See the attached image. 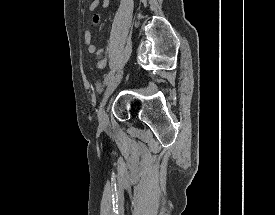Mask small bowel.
Here are the masks:
<instances>
[{
    "label": "small bowel",
    "instance_id": "c3829d8e",
    "mask_svg": "<svg viewBox=\"0 0 275 215\" xmlns=\"http://www.w3.org/2000/svg\"><path fill=\"white\" fill-rule=\"evenodd\" d=\"M108 3H109V0H94L89 6V11L92 12L97 8H106L108 6ZM84 42H85L87 51L90 54H93L96 51V45L92 41V34L89 30L85 31ZM106 64H107V59L103 58L98 61L97 67L99 69H102L106 66Z\"/></svg>",
    "mask_w": 275,
    "mask_h": 215
}]
</instances>
